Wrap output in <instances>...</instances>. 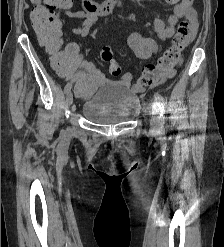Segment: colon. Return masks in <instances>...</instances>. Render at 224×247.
Masks as SVG:
<instances>
[{"mask_svg": "<svg viewBox=\"0 0 224 247\" xmlns=\"http://www.w3.org/2000/svg\"><path fill=\"white\" fill-rule=\"evenodd\" d=\"M72 0H46L44 5L36 6L31 13L33 28L39 40L51 51H58L61 46V21L59 13L69 8ZM192 25L188 19L180 22L172 45L165 50L156 64L148 65L142 72L138 83L150 85L161 76L167 74L177 65L183 50L186 48L191 34ZM76 46L71 45L64 55L57 56L55 66L61 76L75 84L79 95L92 93L99 84L97 77L90 71L81 70V62ZM102 61L109 64V72L113 76L121 74V65L113 59L109 46L100 51Z\"/></svg>", "mask_w": 224, "mask_h": 247, "instance_id": "5ec220e1", "label": "colon"}]
</instances>
